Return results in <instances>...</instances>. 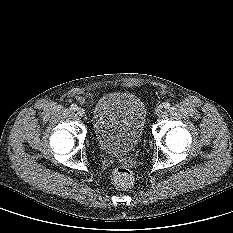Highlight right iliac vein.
<instances>
[{
  "label": "right iliac vein",
  "mask_w": 233,
  "mask_h": 233,
  "mask_svg": "<svg viewBox=\"0 0 233 233\" xmlns=\"http://www.w3.org/2000/svg\"><path fill=\"white\" fill-rule=\"evenodd\" d=\"M77 114L81 117L85 116V110L83 108L77 109Z\"/></svg>",
  "instance_id": "63e3f726"
}]
</instances>
